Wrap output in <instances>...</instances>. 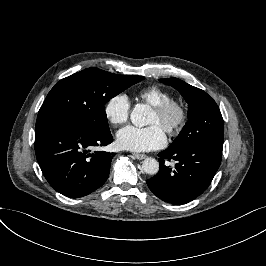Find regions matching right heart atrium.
<instances>
[{"mask_svg":"<svg viewBox=\"0 0 266 266\" xmlns=\"http://www.w3.org/2000/svg\"><path fill=\"white\" fill-rule=\"evenodd\" d=\"M103 110L105 118L110 124H125L131 113L129 97L123 92L115 93L107 99Z\"/></svg>","mask_w":266,"mask_h":266,"instance_id":"d8ad5b80","label":"right heart atrium"}]
</instances>
